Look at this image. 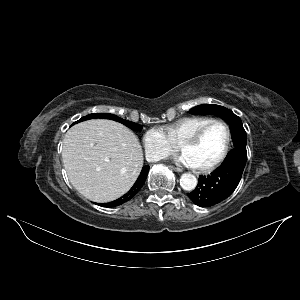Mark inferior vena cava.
Returning <instances> with one entry per match:
<instances>
[{
  "label": "inferior vena cava",
  "mask_w": 300,
  "mask_h": 300,
  "mask_svg": "<svg viewBox=\"0 0 300 300\" xmlns=\"http://www.w3.org/2000/svg\"><path fill=\"white\" fill-rule=\"evenodd\" d=\"M163 155L159 153L147 154V160L150 162H156L163 159Z\"/></svg>",
  "instance_id": "602c4592"
}]
</instances>
